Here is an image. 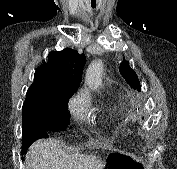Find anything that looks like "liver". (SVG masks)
Listing matches in <instances>:
<instances>
[{
    "label": "liver",
    "mask_w": 177,
    "mask_h": 169,
    "mask_svg": "<svg viewBox=\"0 0 177 169\" xmlns=\"http://www.w3.org/2000/svg\"><path fill=\"white\" fill-rule=\"evenodd\" d=\"M26 169H104L106 162L96 155L69 153L50 138L33 143L25 156Z\"/></svg>",
    "instance_id": "obj_1"
}]
</instances>
